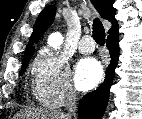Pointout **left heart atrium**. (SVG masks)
I'll return each mask as SVG.
<instances>
[{
  "mask_svg": "<svg viewBox=\"0 0 142 119\" xmlns=\"http://www.w3.org/2000/svg\"><path fill=\"white\" fill-rule=\"evenodd\" d=\"M103 77L101 64L93 58L79 61L75 68V84L79 90L87 91L94 88Z\"/></svg>",
  "mask_w": 142,
  "mask_h": 119,
  "instance_id": "obj_1",
  "label": "left heart atrium"
}]
</instances>
